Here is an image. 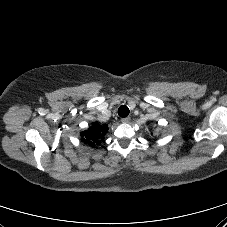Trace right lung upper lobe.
I'll list each match as a JSON object with an SVG mask.
<instances>
[{
  "instance_id": "1",
  "label": "right lung upper lobe",
  "mask_w": 227,
  "mask_h": 227,
  "mask_svg": "<svg viewBox=\"0 0 227 227\" xmlns=\"http://www.w3.org/2000/svg\"><path fill=\"white\" fill-rule=\"evenodd\" d=\"M108 131L107 125H100L94 123L88 130L81 133L82 141L88 145L94 147L99 145L100 142L104 139V134Z\"/></svg>"
}]
</instances>
